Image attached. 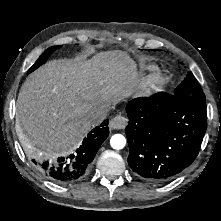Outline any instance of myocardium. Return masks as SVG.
Listing matches in <instances>:
<instances>
[{"label":"myocardium","instance_id":"f54148a6","mask_svg":"<svg viewBox=\"0 0 221 221\" xmlns=\"http://www.w3.org/2000/svg\"><path fill=\"white\" fill-rule=\"evenodd\" d=\"M166 78L164 74L157 70L153 72L144 83V90L147 92L155 91L164 85Z\"/></svg>","mask_w":221,"mask_h":221}]
</instances>
